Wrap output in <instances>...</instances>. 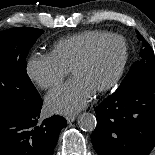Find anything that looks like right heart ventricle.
Wrapping results in <instances>:
<instances>
[{
  "mask_svg": "<svg viewBox=\"0 0 155 155\" xmlns=\"http://www.w3.org/2000/svg\"><path fill=\"white\" fill-rule=\"evenodd\" d=\"M110 32L102 30H86L56 41L50 54L66 71L87 52V50L100 38Z\"/></svg>",
  "mask_w": 155,
  "mask_h": 155,
  "instance_id": "obj_1",
  "label": "right heart ventricle"
}]
</instances>
